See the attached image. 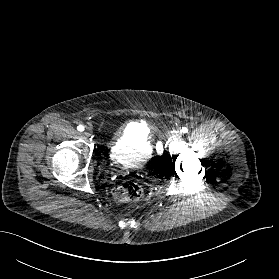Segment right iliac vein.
Returning <instances> with one entry per match:
<instances>
[{"instance_id":"1","label":"right iliac vein","mask_w":279,"mask_h":279,"mask_svg":"<svg viewBox=\"0 0 279 279\" xmlns=\"http://www.w3.org/2000/svg\"><path fill=\"white\" fill-rule=\"evenodd\" d=\"M86 137H90L92 135V129L90 127H86L84 133Z\"/></svg>"}]
</instances>
